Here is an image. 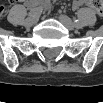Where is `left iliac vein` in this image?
<instances>
[{
  "label": "left iliac vein",
  "instance_id": "4c4485c4",
  "mask_svg": "<svg viewBox=\"0 0 103 103\" xmlns=\"http://www.w3.org/2000/svg\"><path fill=\"white\" fill-rule=\"evenodd\" d=\"M59 20L61 21V23L69 30H74L75 28V25L74 23L72 22V20L66 16V15H60L59 16Z\"/></svg>",
  "mask_w": 103,
  "mask_h": 103
}]
</instances>
